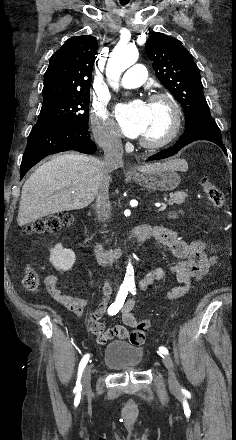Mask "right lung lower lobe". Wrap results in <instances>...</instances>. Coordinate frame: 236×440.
I'll use <instances>...</instances> for the list:
<instances>
[{
	"mask_svg": "<svg viewBox=\"0 0 236 440\" xmlns=\"http://www.w3.org/2000/svg\"><path fill=\"white\" fill-rule=\"evenodd\" d=\"M75 150L85 154L96 152L88 129L57 125H35L28 137L20 170V180L25 173L45 156Z\"/></svg>",
	"mask_w": 236,
	"mask_h": 440,
	"instance_id": "right-lung-lower-lobe-1",
	"label": "right lung lower lobe"
}]
</instances>
